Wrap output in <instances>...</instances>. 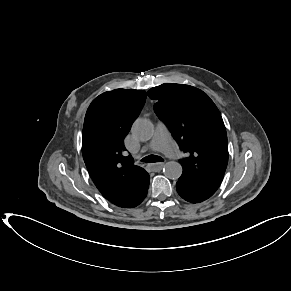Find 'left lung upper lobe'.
<instances>
[{
	"instance_id": "obj_1",
	"label": "left lung upper lobe",
	"mask_w": 291,
	"mask_h": 291,
	"mask_svg": "<svg viewBox=\"0 0 291 291\" xmlns=\"http://www.w3.org/2000/svg\"><path fill=\"white\" fill-rule=\"evenodd\" d=\"M157 100L154 110L169 126L187 157L182 175L217 190L228 163L227 134L221 114L198 88L165 83L148 91Z\"/></svg>"
}]
</instances>
